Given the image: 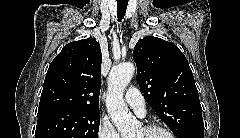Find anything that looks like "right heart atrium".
<instances>
[{
	"label": "right heart atrium",
	"mask_w": 240,
	"mask_h": 138,
	"mask_svg": "<svg viewBox=\"0 0 240 138\" xmlns=\"http://www.w3.org/2000/svg\"><path fill=\"white\" fill-rule=\"evenodd\" d=\"M98 138H121L117 130L107 119H102L97 129Z\"/></svg>",
	"instance_id": "1"
}]
</instances>
